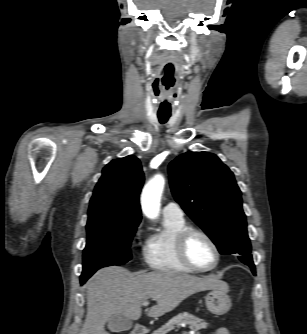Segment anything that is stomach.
<instances>
[{
    "label": "stomach",
    "mask_w": 307,
    "mask_h": 334,
    "mask_svg": "<svg viewBox=\"0 0 307 334\" xmlns=\"http://www.w3.org/2000/svg\"><path fill=\"white\" fill-rule=\"evenodd\" d=\"M229 287L225 282L212 289L205 297L207 309L215 315H223L231 308V299L228 296Z\"/></svg>",
    "instance_id": "stomach-1"
}]
</instances>
